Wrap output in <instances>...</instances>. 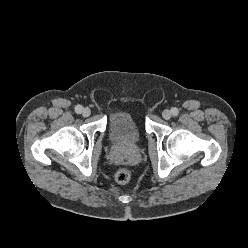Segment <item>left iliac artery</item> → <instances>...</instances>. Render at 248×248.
<instances>
[{"label": "left iliac artery", "instance_id": "obj_1", "mask_svg": "<svg viewBox=\"0 0 248 248\" xmlns=\"http://www.w3.org/2000/svg\"><path fill=\"white\" fill-rule=\"evenodd\" d=\"M171 112H172V115H173V116H177V115L179 114V110H178V108H176V107L172 108V109H171Z\"/></svg>", "mask_w": 248, "mask_h": 248}]
</instances>
